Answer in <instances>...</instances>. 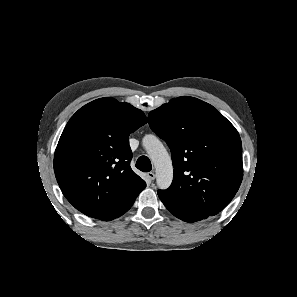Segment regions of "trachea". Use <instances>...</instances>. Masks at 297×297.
Returning <instances> with one entry per match:
<instances>
[{"label":"trachea","mask_w":297,"mask_h":297,"mask_svg":"<svg viewBox=\"0 0 297 297\" xmlns=\"http://www.w3.org/2000/svg\"><path fill=\"white\" fill-rule=\"evenodd\" d=\"M136 167L142 172H149L152 169L151 161L147 156H141L136 161Z\"/></svg>","instance_id":"trachea-1"}]
</instances>
